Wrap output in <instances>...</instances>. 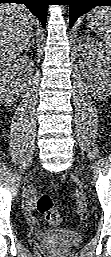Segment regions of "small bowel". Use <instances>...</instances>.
Returning <instances> with one entry per match:
<instances>
[{
  "mask_svg": "<svg viewBox=\"0 0 111 257\" xmlns=\"http://www.w3.org/2000/svg\"><path fill=\"white\" fill-rule=\"evenodd\" d=\"M33 209H34V201L31 200V201L29 202L28 206H27V211H28V213L30 214L31 220H34V217L31 215Z\"/></svg>",
  "mask_w": 111,
  "mask_h": 257,
  "instance_id": "obj_1",
  "label": "small bowel"
}]
</instances>
